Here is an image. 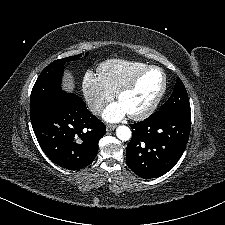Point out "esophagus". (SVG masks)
Wrapping results in <instances>:
<instances>
[{"mask_svg":"<svg viewBox=\"0 0 225 225\" xmlns=\"http://www.w3.org/2000/svg\"><path fill=\"white\" fill-rule=\"evenodd\" d=\"M117 126L116 125H107V131H113Z\"/></svg>","mask_w":225,"mask_h":225,"instance_id":"1","label":"esophagus"}]
</instances>
